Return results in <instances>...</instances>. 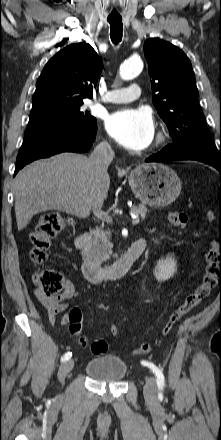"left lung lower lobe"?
Listing matches in <instances>:
<instances>
[{"instance_id":"obj_1","label":"left lung lower lobe","mask_w":221,"mask_h":440,"mask_svg":"<svg viewBox=\"0 0 221 440\" xmlns=\"http://www.w3.org/2000/svg\"><path fill=\"white\" fill-rule=\"evenodd\" d=\"M170 160H197L200 162H204L206 164H209L210 166H213L216 168L221 175V161H210V160H198V159H191L187 157L178 156L168 150L166 148H163L159 153L154 154L147 158L146 162H162V161H170Z\"/></svg>"}]
</instances>
